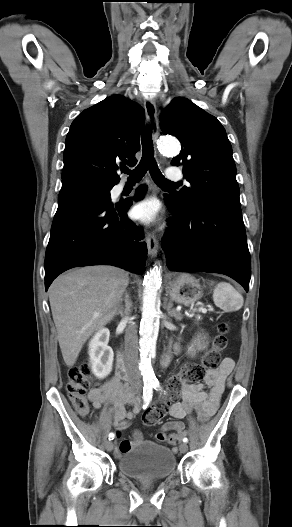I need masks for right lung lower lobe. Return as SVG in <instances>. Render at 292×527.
I'll return each instance as SVG.
<instances>
[{"instance_id": "obj_1", "label": "right lung lower lobe", "mask_w": 292, "mask_h": 527, "mask_svg": "<svg viewBox=\"0 0 292 527\" xmlns=\"http://www.w3.org/2000/svg\"><path fill=\"white\" fill-rule=\"evenodd\" d=\"M139 188L136 199L143 196ZM131 200L112 204L85 192L59 193L45 257V288L80 266L114 265L143 273L147 257L141 230L127 218Z\"/></svg>"}]
</instances>
